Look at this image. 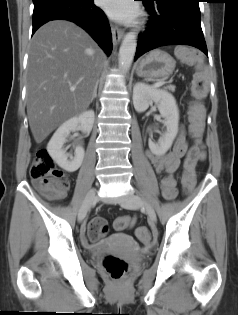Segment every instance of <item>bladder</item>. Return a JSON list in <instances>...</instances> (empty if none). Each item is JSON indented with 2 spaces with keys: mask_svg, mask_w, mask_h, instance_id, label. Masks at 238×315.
<instances>
[{
  "mask_svg": "<svg viewBox=\"0 0 238 315\" xmlns=\"http://www.w3.org/2000/svg\"><path fill=\"white\" fill-rule=\"evenodd\" d=\"M110 249H131V248H110Z\"/></svg>",
  "mask_w": 238,
  "mask_h": 315,
  "instance_id": "1",
  "label": "bladder"
}]
</instances>
